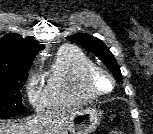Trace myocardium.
<instances>
[{
    "mask_svg": "<svg viewBox=\"0 0 153 134\" xmlns=\"http://www.w3.org/2000/svg\"><path fill=\"white\" fill-rule=\"evenodd\" d=\"M102 74L110 81V89L106 91L98 90L94 85L96 75ZM83 87L90 95L96 97L105 96L110 94L115 88V79L110 72L101 66L93 64L89 66L83 73Z\"/></svg>",
    "mask_w": 153,
    "mask_h": 134,
    "instance_id": "myocardium-1",
    "label": "myocardium"
}]
</instances>
